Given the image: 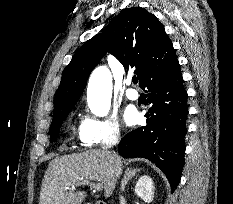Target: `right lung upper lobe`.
<instances>
[{"label": "right lung upper lobe", "mask_w": 233, "mask_h": 204, "mask_svg": "<svg viewBox=\"0 0 233 204\" xmlns=\"http://www.w3.org/2000/svg\"><path fill=\"white\" fill-rule=\"evenodd\" d=\"M107 52L126 69L135 68L141 87L160 71L178 63L163 24L144 8L124 9L101 34L84 43L64 69L54 99L53 119L74 107L91 71Z\"/></svg>", "instance_id": "right-lung-upper-lobe-1"}]
</instances>
